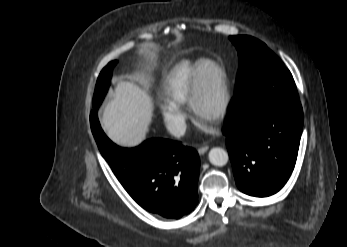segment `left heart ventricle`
<instances>
[{
	"mask_svg": "<svg viewBox=\"0 0 347 247\" xmlns=\"http://www.w3.org/2000/svg\"><path fill=\"white\" fill-rule=\"evenodd\" d=\"M206 81L202 96L201 110L205 118L211 116L220 101V92L216 83L215 74L209 68L205 69Z\"/></svg>",
	"mask_w": 347,
	"mask_h": 247,
	"instance_id": "b2bd125f",
	"label": "left heart ventricle"
}]
</instances>
